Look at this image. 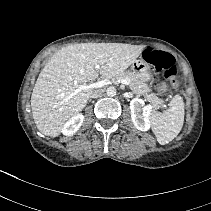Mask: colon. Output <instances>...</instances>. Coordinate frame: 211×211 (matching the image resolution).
<instances>
[{
	"instance_id": "5ec220e1",
	"label": "colon",
	"mask_w": 211,
	"mask_h": 211,
	"mask_svg": "<svg viewBox=\"0 0 211 211\" xmlns=\"http://www.w3.org/2000/svg\"><path fill=\"white\" fill-rule=\"evenodd\" d=\"M144 58L153 68L164 75V77L169 81L171 88H177L178 82L176 77L178 69L172 55L154 48H148L144 52ZM160 90L165 92L168 90V86L166 84H162Z\"/></svg>"
}]
</instances>
